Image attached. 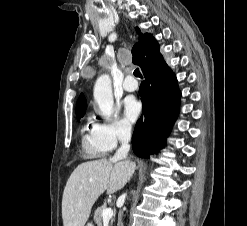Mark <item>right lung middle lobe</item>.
Returning <instances> with one entry per match:
<instances>
[{"mask_svg":"<svg viewBox=\"0 0 247 226\" xmlns=\"http://www.w3.org/2000/svg\"><path fill=\"white\" fill-rule=\"evenodd\" d=\"M82 116H83V114H82V115H78L77 118L79 119V118L82 117Z\"/></svg>","mask_w":247,"mask_h":226,"instance_id":"right-lung-middle-lobe-1","label":"right lung middle lobe"}]
</instances>
